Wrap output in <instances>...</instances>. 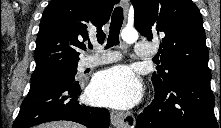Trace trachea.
<instances>
[{"instance_id": "1", "label": "trachea", "mask_w": 221, "mask_h": 128, "mask_svg": "<svg viewBox=\"0 0 221 128\" xmlns=\"http://www.w3.org/2000/svg\"><path fill=\"white\" fill-rule=\"evenodd\" d=\"M122 24H123V9L121 7H116L111 17L110 31L108 35L106 48H110L114 45L119 44V33ZM88 47L90 49L93 48L91 44H89Z\"/></svg>"}]
</instances>
